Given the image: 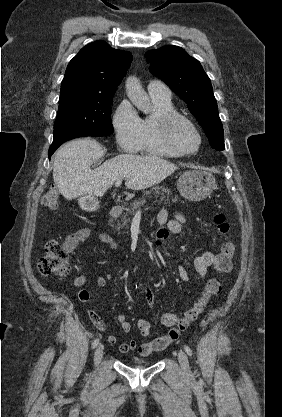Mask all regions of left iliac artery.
Listing matches in <instances>:
<instances>
[{"instance_id":"1","label":"left iliac artery","mask_w":282,"mask_h":417,"mask_svg":"<svg viewBox=\"0 0 282 417\" xmlns=\"http://www.w3.org/2000/svg\"><path fill=\"white\" fill-rule=\"evenodd\" d=\"M184 350L186 351V353H187L189 356H192V350H191V348H190L189 346L184 345Z\"/></svg>"}]
</instances>
